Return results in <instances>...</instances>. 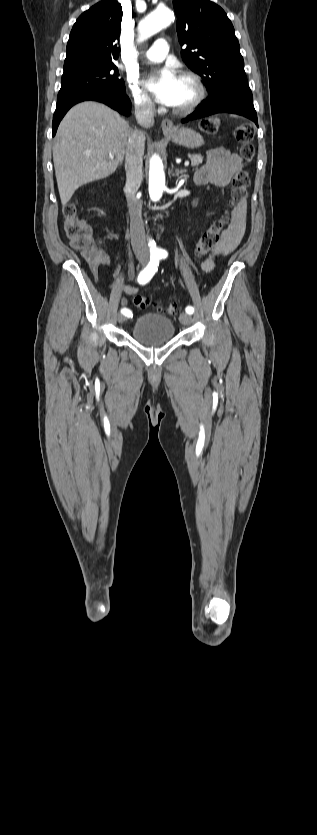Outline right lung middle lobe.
Here are the masks:
<instances>
[{"label":"right lung middle lobe","mask_w":317,"mask_h":835,"mask_svg":"<svg viewBox=\"0 0 317 835\" xmlns=\"http://www.w3.org/2000/svg\"><path fill=\"white\" fill-rule=\"evenodd\" d=\"M109 88L125 92L124 81L119 78L114 63L72 61L64 64L58 100L96 89Z\"/></svg>","instance_id":"obj_1"}]
</instances>
